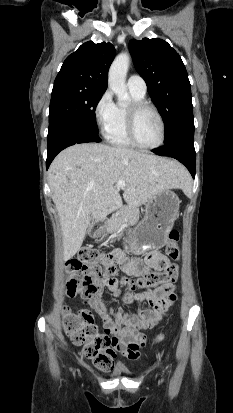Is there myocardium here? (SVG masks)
I'll return each mask as SVG.
<instances>
[{"instance_id": "1", "label": "myocardium", "mask_w": 233, "mask_h": 413, "mask_svg": "<svg viewBox=\"0 0 233 413\" xmlns=\"http://www.w3.org/2000/svg\"><path fill=\"white\" fill-rule=\"evenodd\" d=\"M151 110L154 112V114L157 116L160 126H161V137L160 140L157 144L152 145V146H146L140 143V141L137 138L136 134V124H137V119L140 115V113L144 110ZM127 134L128 138L131 141V143L140 149L143 150H155L160 148L166 139V124L163 119V116L161 115L160 111L157 109V107L147 101H136L133 102L127 110Z\"/></svg>"}]
</instances>
